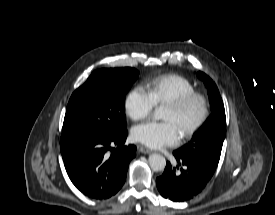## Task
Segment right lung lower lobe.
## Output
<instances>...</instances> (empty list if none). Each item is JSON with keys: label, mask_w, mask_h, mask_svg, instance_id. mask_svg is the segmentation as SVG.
<instances>
[{"label": "right lung lower lobe", "mask_w": 275, "mask_h": 215, "mask_svg": "<svg viewBox=\"0 0 275 215\" xmlns=\"http://www.w3.org/2000/svg\"><path fill=\"white\" fill-rule=\"evenodd\" d=\"M127 134L124 130L107 137H61L60 150L67 174L83 194L107 199L123 186L129 163L136 156L134 145L124 146Z\"/></svg>", "instance_id": "right-lung-lower-lobe-1"}]
</instances>
